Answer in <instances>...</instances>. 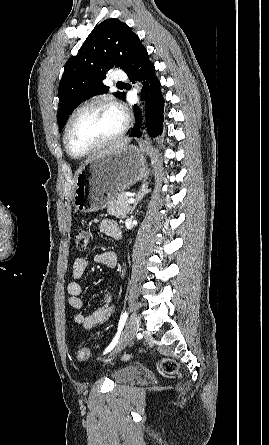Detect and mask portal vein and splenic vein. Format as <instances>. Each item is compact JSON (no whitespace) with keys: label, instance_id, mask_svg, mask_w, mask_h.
I'll use <instances>...</instances> for the list:
<instances>
[{"label":"portal vein and splenic vein","instance_id":"portal-vein-and-splenic-vein-1","mask_svg":"<svg viewBox=\"0 0 269 445\" xmlns=\"http://www.w3.org/2000/svg\"><path fill=\"white\" fill-rule=\"evenodd\" d=\"M134 202H135V200H134L133 198H129V199H128V203H129V204H133Z\"/></svg>","mask_w":269,"mask_h":445}]
</instances>
